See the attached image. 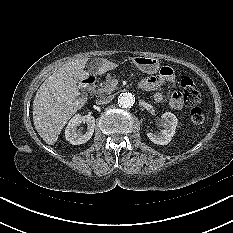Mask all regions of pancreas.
Instances as JSON below:
<instances>
[{
	"instance_id": "cf45deb5",
	"label": "pancreas",
	"mask_w": 233,
	"mask_h": 233,
	"mask_svg": "<svg viewBox=\"0 0 233 233\" xmlns=\"http://www.w3.org/2000/svg\"><path fill=\"white\" fill-rule=\"evenodd\" d=\"M115 89L112 78H107V80L101 83L100 88L98 89L99 95L102 97L104 95L111 94Z\"/></svg>"
}]
</instances>
